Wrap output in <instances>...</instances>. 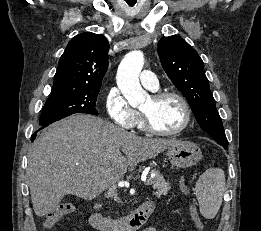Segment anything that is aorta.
Segmentation results:
<instances>
[{"label": "aorta", "mask_w": 261, "mask_h": 231, "mask_svg": "<svg viewBox=\"0 0 261 231\" xmlns=\"http://www.w3.org/2000/svg\"><path fill=\"white\" fill-rule=\"evenodd\" d=\"M144 65V55L141 51L129 52L121 61L117 71V85L128 103L136 107L148 97L139 82V74Z\"/></svg>", "instance_id": "1"}]
</instances>
